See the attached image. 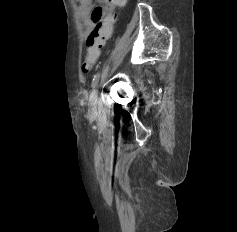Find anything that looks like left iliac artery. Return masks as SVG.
<instances>
[{
    "mask_svg": "<svg viewBox=\"0 0 237 232\" xmlns=\"http://www.w3.org/2000/svg\"><path fill=\"white\" fill-rule=\"evenodd\" d=\"M99 78H100V73L97 72V73L94 75V78H93V80H92V88H94V87L97 85V83H98V81H99Z\"/></svg>",
    "mask_w": 237,
    "mask_h": 232,
    "instance_id": "1",
    "label": "left iliac artery"
}]
</instances>
